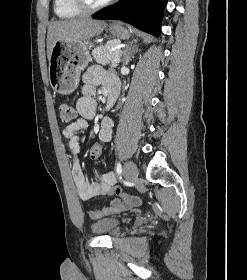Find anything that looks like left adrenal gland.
I'll list each match as a JSON object with an SVG mask.
<instances>
[{"label": "left adrenal gland", "mask_w": 247, "mask_h": 280, "mask_svg": "<svg viewBox=\"0 0 247 280\" xmlns=\"http://www.w3.org/2000/svg\"><path fill=\"white\" fill-rule=\"evenodd\" d=\"M131 47H132V50H131ZM131 47H127L123 52V66L128 65L133 54L138 51V49L134 48V46H132V44H131Z\"/></svg>", "instance_id": "left-adrenal-gland-1"}]
</instances>
